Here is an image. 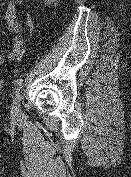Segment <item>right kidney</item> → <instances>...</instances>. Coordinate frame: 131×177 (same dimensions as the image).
Segmentation results:
<instances>
[{
	"instance_id": "ca27d5eb",
	"label": "right kidney",
	"mask_w": 131,
	"mask_h": 177,
	"mask_svg": "<svg viewBox=\"0 0 131 177\" xmlns=\"http://www.w3.org/2000/svg\"><path fill=\"white\" fill-rule=\"evenodd\" d=\"M57 0H45V4L49 5L53 2H56Z\"/></svg>"
}]
</instances>
